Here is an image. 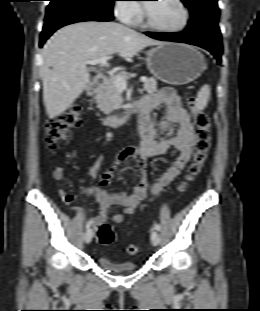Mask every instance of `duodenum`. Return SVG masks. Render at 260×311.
Masks as SVG:
<instances>
[{"mask_svg":"<svg viewBox=\"0 0 260 311\" xmlns=\"http://www.w3.org/2000/svg\"><path fill=\"white\" fill-rule=\"evenodd\" d=\"M107 77L105 75H99L96 77L93 85L88 90V96L90 99H94L101 88L106 83ZM141 102H133L127 106L121 107L113 113L107 115L103 119V123L108 126L120 125L126 122L134 112H141Z\"/></svg>","mask_w":260,"mask_h":311,"instance_id":"duodenum-1","label":"duodenum"}]
</instances>
